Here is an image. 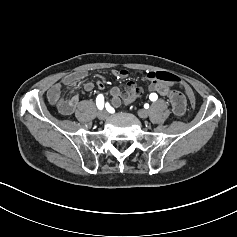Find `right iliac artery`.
<instances>
[{"mask_svg": "<svg viewBox=\"0 0 237 237\" xmlns=\"http://www.w3.org/2000/svg\"><path fill=\"white\" fill-rule=\"evenodd\" d=\"M96 105L98 109L102 110L104 108V97L102 94H99L96 98Z\"/></svg>", "mask_w": 237, "mask_h": 237, "instance_id": "82829eb1", "label": "right iliac artery"}]
</instances>
